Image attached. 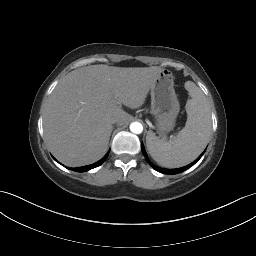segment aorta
<instances>
[{
  "label": "aorta",
  "mask_w": 256,
  "mask_h": 256,
  "mask_svg": "<svg viewBox=\"0 0 256 256\" xmlns=\"http://www.w3.org/2000/svg\"><path fill=\"white\" fill-rule=\"evenodd\" d=\"M130 131L135 134H141L143 131V126L139 122H133L130 124Z\"/></svg>",
  "instance_id": "1"
}]
</instances>
